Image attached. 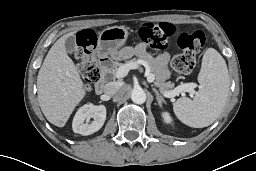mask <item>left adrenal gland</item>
<instances>
[{"mask_svg":"<svg viewBox=\"0 0 256 171\" xmlns=\"http://www.w3.org/2000/svg\"><path fill=\"white\" fill-rule=\"evenodd\" d=\"M152 89H153V91H154L155 94H156V99H157L158 104H159L160 106H162V103H163V102L165 103L164 98L160 95V93L157 91V89H155V88H152Z\"/></svg>","mask_w":256,"mask_h":171,"instance_id":"left-adrenal-gland-1","label":"left adrenal gland"}]
</instances>
